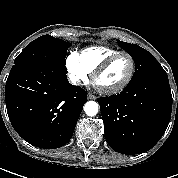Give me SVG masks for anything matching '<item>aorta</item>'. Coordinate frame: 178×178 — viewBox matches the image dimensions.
<instances>
[{
	"label": "aorta",
	"mask_w": 178,
	"mask_h": 178,
	"mask_svg": "<svg viewBox=\"0 0 178 178\" xmlns=\"http://www.w3.org/2000/svg\"><path fill=\"white\" fill-rule=\"evenodd\" d=\"M99 105L95 101H88L84 105V111L88 116H95L98 113Z\"/></svg>",
	"instance_id": "1"
}]
</instances>
